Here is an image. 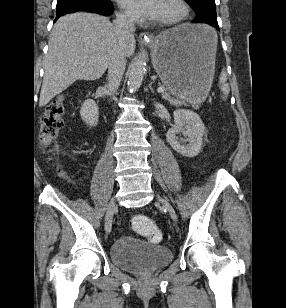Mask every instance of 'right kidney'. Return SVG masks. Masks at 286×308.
Returning a JSON list of instances; mask_svg holds the SVG:
<instances>
[{"mask_svg": "<svg viewBox=\"0 0 286 308\" xmlns=\"http://www.w3.org/2000/svg\"><path fill=\"white\" fill-rule=\"evenodd\" d=\"M98 110V105L94 100L87 99L83 102L80 109V116L89 127H93L98 124Z\"/></svg>", "mask_w": 286, "mask_h": 308, "instance_id": "ca27d5eb", "label": "right kidney"}]
</instances>
